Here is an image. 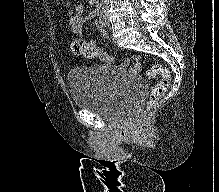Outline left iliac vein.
Wrapping results in <instances>:
<instances>
[{"instance_id":"1","label":"left iliac vein","mask_w":219,"mask_h":192,"mask_svg":"<svg viewBox=\"0 0 219 192\" xmlns=\"http://www.w3.org/2000/svg\"><path fill=\"white\" fill-rule=\"evenodd\" d=\"M100 23L104 27H109L110 26V21L108 19V14H107V10L106 9L104 10L103 14L100 17Z\"/></svg>"}]
</instances>
